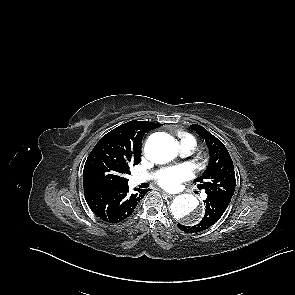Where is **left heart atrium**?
I'll use <instances>...</instances> for the list:
<instances>
[{"instance_id":"1","label":"left heart atrium","mask_w":295,"mask_h":295,"mask_svg":"<svg viewBox=\"0 0 295 295\" xmlns=\"http://www.w3.org/2000/svg\"><path fill=\"white\" fill-rule=\"evenodd\" d=\"M192 177V171L185 164L168 167L156 174L157 183L167 190H176L180 185Z\"/></svg>"}]
</instances>
